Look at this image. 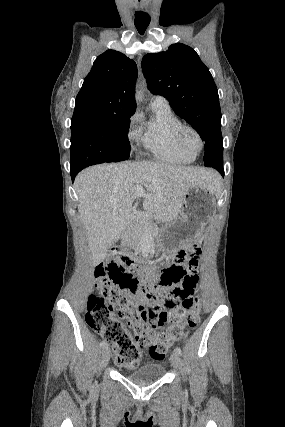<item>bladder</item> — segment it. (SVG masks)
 Returning <instances> with one entry per match:
<instances>
[{"instance_id":"bladder-1","label":"bladder","mask_w":285,"mask_h":427,"mask_svg":"<svg viewBox=\"0 0 285 427\" xmlns=\"http://www.w3.org/2000/svg\"><path fill=\"white\" fill-rule=\"evenodd\" d=\"M165 368L160 363H150L125 375V378L136 385H147L158 382L164 375Z\"/></svg>"}]
</instances>
